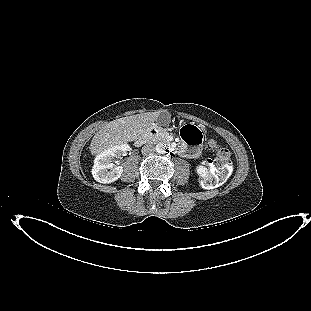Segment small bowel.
I'll return each mask as SVG.
<instances>
[{"label": "small bowel", "mask_w": 311, "mask_h": 311, "mask_svg": "<svg viewBox=\"0 0 311 311\" xmlns=\"http://www.w3.org/2000/svg\"><path fill=\"white\" fill-rule=\"evenodd\" d=\"M195 131L200 132L198 128H194ZM191 143L187 140L184 139V143L181 145L180 151L182 154H186L189 156H197L198 155V150L197 149H191L190 146Z\"/></svg>", "instance_id": "small-bowel-1"}]
</instances>
